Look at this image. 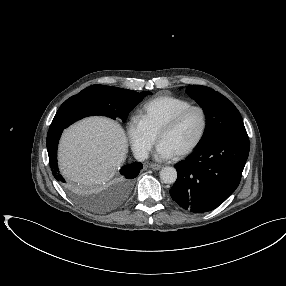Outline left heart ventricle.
I'll use <instances>...</instances> for the list:
<instances>
[{
	"mask_svg": "<svg viewBox=\"0 0 286 286\" xmlns=\"http://www.w3.org/2000/svg\"><path fill=\"white\" fill-rule=\"evenodd\" d=\"M202 128V116L197 110L188 113L174 128L165 132L160 139L174 153L190 146Z\"/></svg>",
	"mask_w": 286,
	"mask_h": 286,
	"instance_id": "b2bd125f",
	"label": "left heart ventricle"
}]
</instances>
